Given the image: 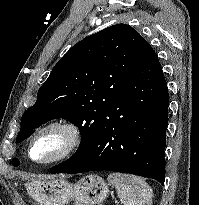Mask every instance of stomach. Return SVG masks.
<instances>
[{"label":"stomach","mask_w":199,"mask_h":205,"mask_svg":"<svg viewBox=\"0 0 199 205\" xmlns=\"http://www.w3.org/2000/svg\"><path fill=\"white\" fill-rule=\"evenodd\" d=\"M28 194L39 205H97L109 194V185L96 174L87 175L75 183L58 179L32 180L27 183Z\"/></svg>","instance_id":"stomach-1"}]
</instances>
